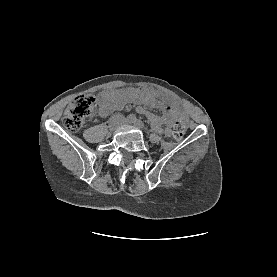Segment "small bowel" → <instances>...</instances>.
<instances>
[{
    "mask_svg": "<svg viewBox=\"0 0 277 277\" xmlns=\"http://www.w3.org/2000/svg\"><path fill=\"white\" fill-rule=\"evenodd\" d=\"M101 109L100 116L107 117L111 113L121 110L128 103L140 101L152 108L162 111L161 115H155L148 110L137 107L139 113L147 116L152 127L159 133L166 126L165 133L171 134V126L174 117L178 113V108L171 96L154 89H126L118 91H108L100 94Z\"/></svg>",
    "mask_w": 277,
    "mask_h": 277,
    "instance_id": "1",
    "label": "small bowel"
}]
</instances>
